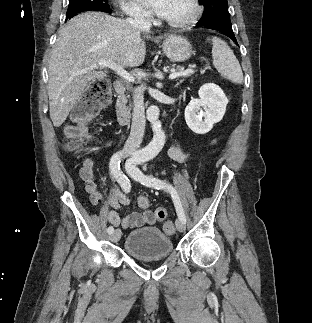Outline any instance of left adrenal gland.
<instances>
[{
	"instance_id": "obj_1",
	"label": "left adrenal gland",
	"mask_w": 312,
	"mask_h": 323,
	"mask_svg": "<svg viewBox=\"0 0 312 323\" xmlns=\"http://www.w3.org/2000/svg\"><path fill=\"white\" fill-rule=\"evenodd\" d=\"M183 80H179V82H177L176 86H174V88H177V86H179V84H182Z\"/></svg>"
}]
</instances>
